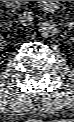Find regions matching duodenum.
Listing matches in <instances>:
<instances>
[{"mask_svg": "<svg viewBox=\"0 0 74 122\" xmlns=\"http://www.w3.org/2000/svg\"><path fill=\"white\" fill-rule=\"evenodd\" d=\"M6 4L11 6L18 5L20 1H4ZM40 6L45 12H53L57 9V1H40Z\"/></svg>", "mask_w": 74, "mask_h": 122, "instance_id": "duodenum-1", "label": "duodenum"}]
</instances>
